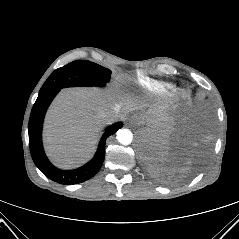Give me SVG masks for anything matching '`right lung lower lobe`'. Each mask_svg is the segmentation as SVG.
<instances>
[{"mask_svg": "<svg viewBox=\"0 0 239 239\" xmlns=\"http://www.w3.org/2000/svg\"><path fill=\"white\" fill-rule=\"evenodd\" d=\"M58 91L52 90L38 95L28 124L29 146L34 163L48 178L60 184L73 185L90 179L99 171L105 157L106 139L121 128L122 123H116L107 128L100 140L97 152L90 162L75 170L58 169L47 159L43 150L41 136L46 110Z\"/></svg>", "mask_w": 239, "mask_h": 239, "instance_id": "right-lung-lower-lobe-1", "label": "right lung lower lobe"}]
</instances>
